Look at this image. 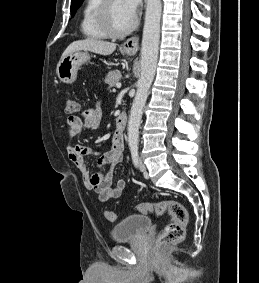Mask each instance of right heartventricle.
I'll list each match as a JSON object with an SVG mask.
<instances>
[{
    "instance_id": "obj_1",
    "label": "right heart ventricle",
    "mask_w": 259,
    "mask_h": 283,
    "mask_svg": "<svg viewBox=\"0 0 259 283\" xmlns=\"http://www.w3.org/2000/svg\"><path fill=\"white\" fill-rule=\"evenodd\" d=\"M102 0H86L81 19V31L89 39H104L107 35L99 24L98 12Z\"/></svg>"
}]
</instances>
